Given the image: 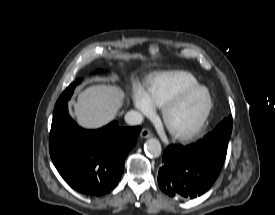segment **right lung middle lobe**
Returning <instances> with one entry per match:
<instances>
[{
  "label": "right lung middle lobe",
  "mask_w": 275,
  "mask_h": 215,
  "mask_svg": "<svg viewBox=\"0 0 275 215\" xmlns=\"http://www.w3.org/2000/svg\"><path fill=\"white\" fill-rule=\"evenodd\" d=\"M80 83V80H77V84ZM76 87V83H71L66 89L65 91L61 94V96L59 97L55 107L59 106L60 104L64 103V102H67L71 95L73 94V91Z\"/></svg>",
  "instance_id": "obj_1"
}]
</instances>
